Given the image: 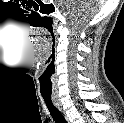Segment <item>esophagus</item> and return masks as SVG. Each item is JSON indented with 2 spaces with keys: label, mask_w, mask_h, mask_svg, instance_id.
<instances>
[{
  "label": "esophagus",
  "mask_w": 124,
  "mask_h": 123,
  "mask_svg": "<svg viewBox=\"0 0 124 123\" xmlns=\"http://www.w3.org/2000/svg\"><path fill=\"white\" fill-rule=\"evenodd\" d=\"M55 106L59 109V111L62 113V115L65 117V119L68 121L67 116L65 114V111L59 101L54 100Z\"/></svg>",
  "instance_id": "34e87169"
}]
</instances>
